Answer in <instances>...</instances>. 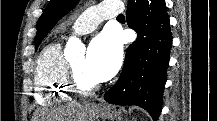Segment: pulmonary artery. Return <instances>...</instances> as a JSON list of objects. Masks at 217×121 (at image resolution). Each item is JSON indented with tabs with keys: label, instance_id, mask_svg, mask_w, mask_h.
Instances as JSON below:
<instances>
[{
	"label": "pulmonary artery",
	"instance_id": "e3ab8cb5",
	"mask_svg": "<svg viewBox=\"0 0 217 121\" xmlns=\"http://www.w3.org/2000/svg\"><path fill=\"white\" fill-rule=\"evenodd\" d=\"M122 11L123 8L117 2H102L78 16L71 26V31L79 35L92 32L102 20L116 18Z\"/></svg>",
	"mask_w": 217,
	"mask_h": 121
}]
</instances>
